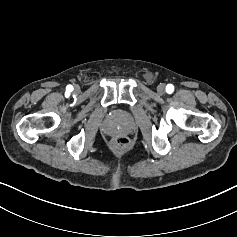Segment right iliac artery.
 <instances>
[{"instance_id": "1", "label": "right iliac artery", "mask_w": 237, "mask_h": 237, "mask_svg": "<svg viewBox=\"0 0 237 237\" xmlns=\"http://www.w3.org/2000/svg\"><path fill=\"white\" fill-rule=\"evenodd\" d=\"M71 91H73V86L72 85H68L67 86V95H69V93L71 92Z\"/></svg>"}]
</instances>
